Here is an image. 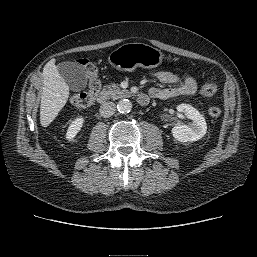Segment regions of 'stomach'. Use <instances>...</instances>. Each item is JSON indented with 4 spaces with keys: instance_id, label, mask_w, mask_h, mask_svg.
I'll list each match as a JSON object with an SVG mask.
<instances>
[{
    "instance_id": "1",
    "label": "stomach",
    "mask_w": 257,
    "mask_h": 257,
    "mask_svg": "<svg viewBox=\"0 0 257 257\" xmlns=\"http://www.w3.org/2000/svg\"><path fill=\"white\" fill-rule=\"evenodd\" d=\"M163 54L157 48L143 43L123 44L108 57L111 66L117 70L132 72L137 67L155 68L161 64Z\"/></svg>"
}]
</instances>
